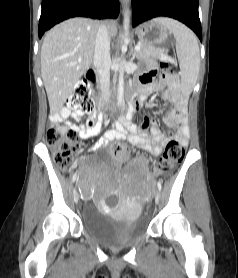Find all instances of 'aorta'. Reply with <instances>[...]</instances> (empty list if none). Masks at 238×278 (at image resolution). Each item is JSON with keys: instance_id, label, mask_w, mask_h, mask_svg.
<instances>
[{"instance_id": "aorta-1", "label": "aorta", "mask_w": 238, "mask_h": 278, "mask_svg": "<svg viewBox=\"0 0 238 278\" xmlns=\"http://www.w3.org/2000/svg\"><path fill=\"white\" fill-rule=\"evenodd\" d=\"M129 22L130 16L129 11L127 10L124 15L123 29H124V44L122 45V52L127 50L125 43L128 41V31H129ZM123 95H124V70L121 68L119 71V80H118V90H117V105L120 107L123 104Z\"/></svg>"}]
</instances>
